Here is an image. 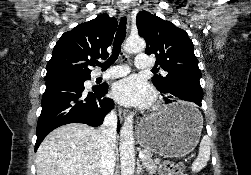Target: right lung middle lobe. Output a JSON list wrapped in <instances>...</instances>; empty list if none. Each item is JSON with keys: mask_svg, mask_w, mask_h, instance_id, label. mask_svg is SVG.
I'll list each match as a JSON object with an SVG mask.
<instances>
[{"mask_svg": "<svg viewBox=\"0 0 251 175\" xmlns=\"http://www.w3.org/2000/svg\"><path fill=\"white\" fill-rule=\"evenodd\" d=\"M86 78H76V79H63V80H70V81H82L85 80Z\"/></svg>", "mask_w": 251, "mask_h": 175, "instance_id": "dd1d6c3e", "label": "right lung middle lobe"}]
</instances>
